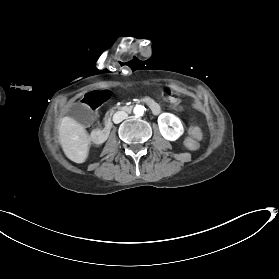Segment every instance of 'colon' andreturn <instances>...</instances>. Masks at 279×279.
Instances as JSON below:
<instances>
[{
    "label": "colon",
    "instance_id": "obj_1",
    "mask_svg": "<svg viewBox=\"0 0 279 279\" xmlns=\"http://www.w3.org/2000/svg\"><path fill=\"white\" fill-rule=\"evenodd\" d=\"M189 133H190L191 137L194 139H200L202 136V132H201L200 128H198L197 126H191L189 128Z\"/></svg>",
    "mask_w": 279,
    "mask_h": 279
}]
</instances>
